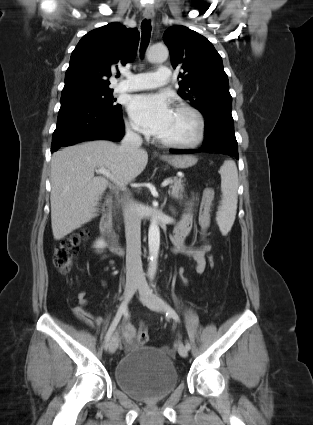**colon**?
Here are the masks:
<instances>
[{
  "instance_id": "obj_1",
  "label": "colon",
  "mask_w": 313,
  "mask_h": 425,
  "mask_svg": "<svg viewBox=\"0 0 313 425\" xmlns=\"http://www.w3.org/2000/svg\"><path fill=\"white\" fill-rule=\"evenodd\" d=\"M90 236V230L83 229L79 232L73 233L64 237L60 243L54 248L53 263L57 270L61 273H67L74 262V258L81 243L87 240ZM209 267L215 265L214 256H209L207 259ZM190 283V276L186 269L180 268L177 272V285L185 287ZM137 341L139 344L144 345L149 340V335L146 327H142L137 332Z\"/></svg>"
}]
</instances>
